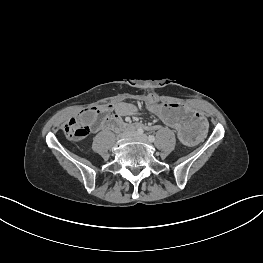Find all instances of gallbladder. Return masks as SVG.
I'll use <instances>...</instances> for the list:
<instances>
[{
    "label": "gallbladder",
    "instance_id": "obj_1",
    "mask_svg": "<svg viewBox=\"0 0 263 263\" xmlns=\"http://www.w3.org/2000/svg\"><path fill=\"white\" fill-rule=\"evenodd\" d=\"M96 114L94 111H87L83 114L82 118L85 123L90 124L95 120Z\"/></svg>",
    "mask_w": 263,
    "mask_h": 263
}]
</instances>
